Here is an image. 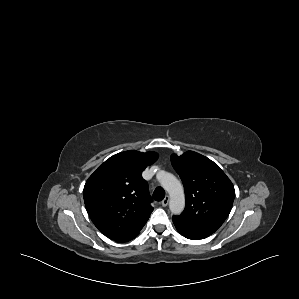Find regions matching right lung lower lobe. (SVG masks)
Returning <instances> with one entry per match:
<instances>
[{"instance_id": "1", "label": "right lung lower lobe", "mask_w": 299, "mask_h": 299, "mask_svg": "<svg viewBox=\"0 0 299 299\" xmlns=\"http://www.w3.org/2000/svg\"><path fill=\"white\" fill-rule=\"evenodd\" d=\"M136 236H137V235H136ZM136 236H134V237H131V238H128V239L120 240V241H117V242H126V241H129V240H131V239L135 238Z\"/></svg>"}]
</instances>
